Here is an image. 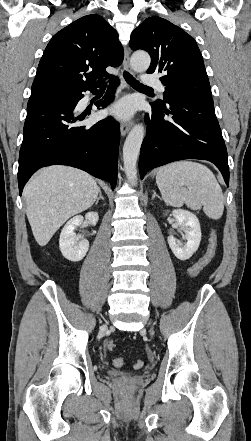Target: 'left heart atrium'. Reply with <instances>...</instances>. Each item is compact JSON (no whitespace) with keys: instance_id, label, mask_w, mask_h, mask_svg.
I'll return each mask as SVG.
<instances>
[{"instance_id":"1","label":"left heart atrium","mask_w":251,"mask_h":441,"mask_svg":"<svg viewBox=\"0 0 251 441\" xmlns=\"http://www.w3.org/2000/svg\"><path fill=\"white\" fill-rule=\"evenodd\" d=\"M134 112V104L129 99H124L115 104L110 110L109 113L115 117L121 119L129 118Z\"/></svg>"}]
</instances>
